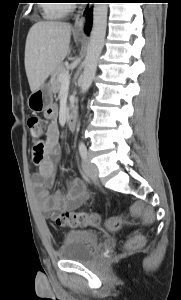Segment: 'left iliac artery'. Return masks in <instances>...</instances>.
Instances as JSON below:
<instances>
[{
  "label": "left iliac artery",
  "instance_id": "44dca946",
  "mask_svg": "<svg viewBox=\"0 0 181 300\" xmlns=\"http://www.w3.org/2000/svg\"><path fill=\"white\" fill-rule=\"evenodd\" d=\"M79 152H80L81 157L83 159H86V157H87V148H86V146L83 142L79 143Z\"/></svg>",
  "mask_w": 181,
  "mask_h": 300
}]
</instances>
